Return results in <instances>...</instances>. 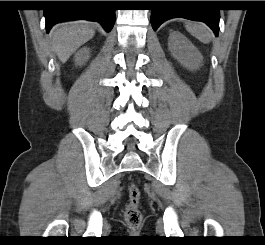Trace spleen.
Segmentation results:
<instances>
[{"instance_id": "spleen-1", "label": "spleen", "mask_w": 265, "mask_h": 245, "mask_svg": "<svg viewBox=\"0 0 265 245\" xmlns=\"http://www.w3.org/2000/svg\"><path fill=\"white\" fill-rule=\"evenodd\" d=\"M186 30L203 43H209L212 40L210 29L203 23H187Z\"/></svg>"}]
</instances>
